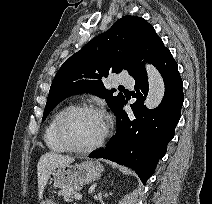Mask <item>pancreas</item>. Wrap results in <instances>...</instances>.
<instances>
[{
    "mask_svg": "<svg viewBox=\"0 0 212 204\" xmlns=\"http://www.w3.org/2000/svg\"><path fill=\"white\" fill-rule=\"evenodd\" d=\"M77 187H67L59 191L58 195L62 196L66 202H72L73 195L76 194Z\"/></svg>",
    "mask_w": 212,
    "mask_h": 204,
    "instance_id": "1",
    "label": "pancreas"
}]
</instances>
